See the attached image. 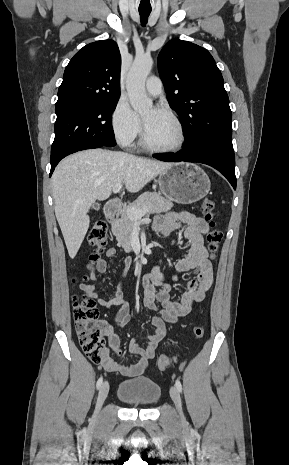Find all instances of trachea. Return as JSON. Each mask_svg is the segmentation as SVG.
I'll use <instances>...</instances> for the list:
<instances>
[{
	"mask_svg": "<svg viewBox=\"0 0 289 465\" xmlns=\"http://www.w3.org/2000/svg\"><path fill=\"white\" fill-rule=\"evenodd\" d=\"M150 13H151V10L139 9V14H140L142 26L146 25Z\"/></svg>",
	"mask_w": 289,
	"mask_h": 465,
	"instance_id": "trachea-1",
	"label": "trachea"
}]
</instances>
